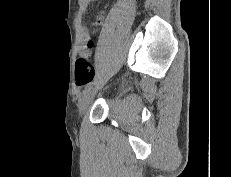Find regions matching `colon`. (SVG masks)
Returning a JSON list of instances; mask_svg holds the SVG:
<instances>
[{
	"instance_id": "5ec220e1",
	"label": "colon",
	"mask_w": 231,
	"mask_h": 177,
	"mask_svg": "<svg viewBox=\"0 0 231 177\" xmlns=\"http://www.w3.org/2000/svg\"><path fill=\"white\" fill-rule=\"evenodd\" d=\"M95 70L91 62L86 57H80L76 61V83L84 86L92 81Z\"/></svg>"
}]
</instances>
